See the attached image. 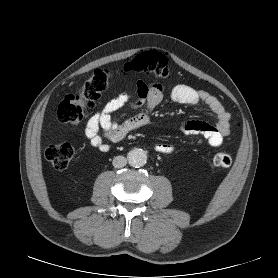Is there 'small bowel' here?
<instances>
[{"mask_svg":"<svg viewBox=\"0 0 278 278\" xmlns=\"http://www.w3.org/2000/svg\"><path fill=\"white\" fill-rule=\"evenodd\" d=\"M165 93L166 90L161 84H148L138 80L134 95L128 92L120 93L88 119L84 134L89 144L100 152H108L110 145L107 141L120 142L130 132L149 124L152 112L162 102ZM169 97L175 103L187 106L204 103L216 117L215 125L202 121L183 122L180 129L184 134L199 135L201 141H206L212 147H220L224 139L230 135V114L211 93L181 83L170 89ZM126 105L131 109L144 107V110L128 118H125V112L114 115ZM154 149L161 154H171L175 151V147L168 143H156Z\"/></svg>","mask_w":278,"mask_h":278,"instance_id":"1","label":"small bowel"}]
</instances>
